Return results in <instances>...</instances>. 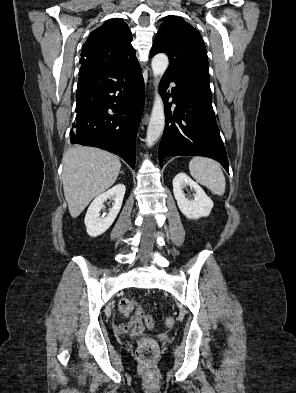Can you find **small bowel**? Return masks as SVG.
I'll use <instances>...</instances> for the list:
<instances>
[{
	"instance_id": "c3829d8e",
	"label": "small bowel",
	"mask_w": 296,
	"mask_h": 393,
	"mask_svg": "<svg viewBox=\"0 0 296 393\" xmlns=\"http://www.w3.org/2000/svg\"><path fill=\"white\" fill-rule=\"evenodd\" d=\"M115 329L117 332L124 333H141L144 330V324L138 316H133L129 322L125 324H116Z\"/></svg>"
}]
</instances>
